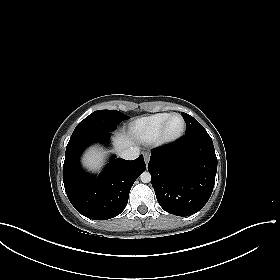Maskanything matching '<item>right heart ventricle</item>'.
<instances>
[{
    "label": "right heart ventricle",
    "instance_id": "right-heart-ventricle-1",
    "mask_svg": "<svg viewBox=\"0 0 280 280\" xmlns=\"http://www.w3.org/2000/svg\"><path fill=\"white\" fill-rule=\"evenodd\" d=\"M171 113L163 112L137 119L131 126V132L142 142H152L159 136V131Z\"/></svg>",
    "mask_w": 280,
    "mask_h": 280
}]
</instances>
